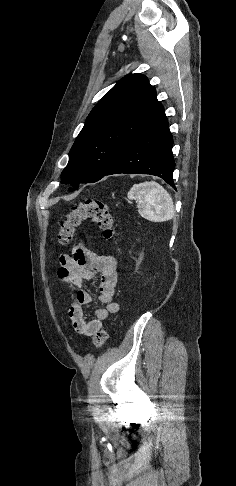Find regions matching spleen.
Listing matches in <instances>:
<instances>
[{"label": "spleen", "instance_id": "obj_1", "mask_svg": "<svg viewBox=\"0 0 236 486\" xmlns=\"http://www.w3.org/2000/svg\"><path fill=\"white\" fill-rule=\"evenodd\" d=\"M128 198L138 201L139 214L149 221L164 222L174 216L171 196L155 181L133 185L128 192Z\"/></svg>", "mask_w": 236, "mask_h": 486}]
</instances>
